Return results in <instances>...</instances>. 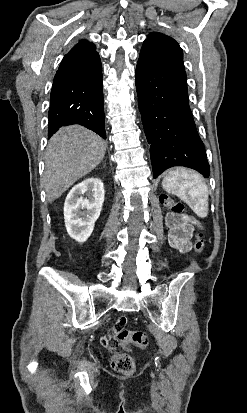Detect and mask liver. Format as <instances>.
I'll list each match as a JSON object with an SVG mask.
<instances>
[{
	"instance_id": "1",
	"label": "liver",
	"mask_w": 247,
	"mask_h": 413,
	"mask_svg": "<svg viewBox=\"0 0 247 413\" xmlns=\"http://www.w3.org/2000/svg\"><path fill=\"white\" fill-rule=\"evenodd\" d=\"M105 140L79 124L61 126L45 152L44 188L52 202L78 178L91 172L105 156Z\"/></svg>"
}]
</instances>
